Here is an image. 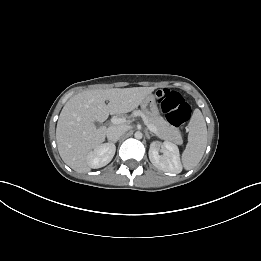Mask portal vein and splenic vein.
<instances>
[{"mask_svg":"<svg viewBox=\"0 0 261 261\" xmlns=\"http://www.w3.org/2000/svg\"><path fill=\"white\" fill-rule=\"evenodd\" d=\"M125 121H126L125 118H113V119L111 120V122H112L113 124H122V123H124ZM146 126H147V128H148L151 132H153V133H156V132H157V128H156L155 126L150 125V124H147V123H146Z\"/></svg>","mask_w":261,"mask_h":261,"instance_id":"obj_1","label":"portal vein and splenic vein"}]
</instances>
